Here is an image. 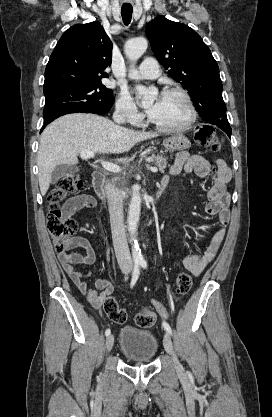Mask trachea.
Listing matches in <instances>:
<instances>
[{
    "label": "trachea",
    "mask_w": 272,
    "mask_h": 417,
    "mask_svg": "<svg viewBox=\"0 0 272 417\" xmlns=\"http://www.w3.org/2000/svg\"><path fill=\"white\" fill-rule=\"evenodd\" d=\"M121 15L125 25H128L131 22L132 18V6L123 5L121 8Z\"/></svg>",
    "instance_id": "trachea-1"
}]
</instances>
